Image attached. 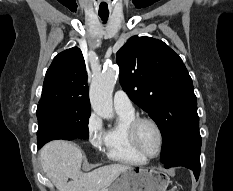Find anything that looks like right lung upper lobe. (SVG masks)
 Wrapping results in <instances>:
<instances>
[{
    "label": "right lung upper lobe",
    "mask_w": 233,
    "mask_h": 191,
    "mask_svg": "<svg viewBox=\"0 0 233 191\" xmlns=\"http://www.w3.org/2000/svg\"><path fill=\"white\" fill-rule=\"evenodd\" d=\"M39 103L90 109L87 72L79 48L65 50L53 59L46 72Z\"/></svg>",
    "instance_id": "cb5924a9"
}]
</instances>
